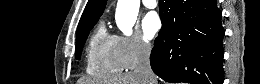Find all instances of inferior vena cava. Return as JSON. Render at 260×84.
Masks as SVG:
<instances>
[{"mask_svg": "<svg viewBox=\"0 0 260 84\" xmlns=\"http://www.w3.org/2000/svg\"><path fill=\"white\" fill-rule=\"evenodd\" d=\"M134 73L142 78L144 84H157V79L150 66V48L142 47Z\"/></svg>", "mask_w": 260, "mask_h": 84, "instance_id": "1", "label": "inferior vena cava"}]
</instances>
